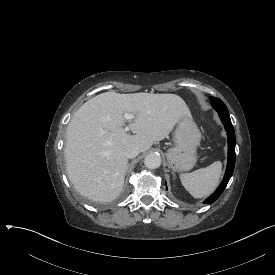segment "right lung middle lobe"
<instances>
[{
	"mask_svg": "<svg viewBox=\"0 0 275 275\" xmlns=\"http://www.w3.org/2000/svg\"><path fill=\"white\" fill-rule=\"evenodd\" d=\"M70 188H73V185H70ZM127 190H128V186H125V189H124V192L121 195V198L125 197ZM75 192L76 193H74V196H76L79 199H82V197L89 198V195H86V194H82V196H80L79 195L80 194V190L78 188H75ZM83 202H85L86 204H89V201L86 200V199H83ZM117 202L118 203H96L94 201H91V205H94V206H119V205H121L122 200L117 199Z\"/></svg>",
	"mask_w": 275,
	"mask_h": 275,
	"instance_id": "obj_1",
	"label": "right lung middle lobe"
}]
</instances>
